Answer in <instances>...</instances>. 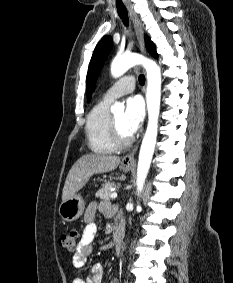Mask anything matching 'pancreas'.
I'll use <instances>...</instances> for the list:
<instances>
[{"instance_id": "cf45deb5", "label": "pancreas", "mask_w": 233, "mask_h": 283, "mask_svg": "<svg viewBox=\"0 0 233 283\" xmlns=\"http://www.w3.org/2000/svg\"><path fill=\"white\" fill-rule=\"evenodd\" d=\"M115 186L116 184L114 182H107L103 184L102 187L96 192V197L102 200H109L111 195L110 189Z\"/></svg>"}]
</instances>
